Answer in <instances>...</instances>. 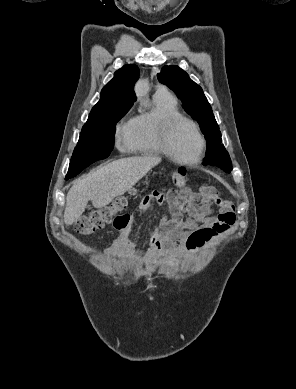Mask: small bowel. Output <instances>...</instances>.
Segmentation results:
<instances>
[{
    "label": "small bowel",
    "instance_id": "c3829d8e",
    "mask_svg": "<svg viewBox=\"0 0 296 389\" xmlns=\"http://www.w3.org/2000/svg\"><path fill=\"white\" fill-rule=\"evenodd\" d=\"M155 202H165L169 212L150 237L152 246L158 251L196 252L235 224L232 203L219 198L212 189L201 193L156 191L141 200L137 208L127 215L123 225H114L118 237L107 248V256L121 257L129 253L133 245L130 236L135 224ZM212 203L218 206L216 214L213 213Z\"/></svg>",
    "mask_w": 296,
    "mask_h": 389
}]
</instances>
